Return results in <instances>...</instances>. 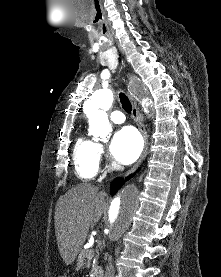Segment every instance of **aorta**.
<instances>
[{
  "instance_id": "obj_1",
  "label": "aorta",
  "mask_w": 221,
  "mask_h": 277,
  "mask_svg": "<svg viewBox=\"0 0 221 277\" xmlns=\"http://www.w3.org/2000/svg\"><path fill=\"white\" fill-rule=\"evenodd\" d=\"M134 89L138 94H144L143 87L136 83ZM114 100L113 91L103 88L96 91L86 102L85 113L89 119V132L105 140L111 131L106 111ZM150 109H153L151 105ZM139 193L136 187L129 185L118 193L111 201L108 220L103 231L110 241L118 240L133 221L138 209Z\"/></svg>"
}]
</instances>
